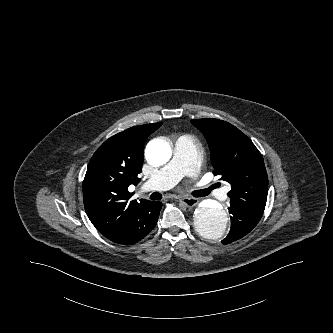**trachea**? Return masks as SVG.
<instances>
[{
    "instance_id": "1",
    "label": "trachea",
    "mask_w": 333,
    "mask_h": 333,
    "mask_svg": "<svg viewBox=\"0 0 333 333\" xmlns=\"http://www.w3.org/2000/svg\"><path fill=\"white\" fill-rule=\"evenodd\" d=\"M214 188H215V186L212 185L210 188L203 189V190H197L194 192V195L197 197L207 196L209 194V191ZM161 198H162V195L158 192H154L150 196V199H152V200H160Z\"/></svg>"
}]
</instances>
